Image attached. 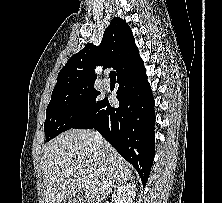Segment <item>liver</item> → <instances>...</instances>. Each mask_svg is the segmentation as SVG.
Instances as JSON below:
<instances>
[{
	"mask_svg": "<svg viewBox=\"0 0 222 203\" xmlns=\"http://www.w3.org/2000/svg\"><path fill=\"white\" fill-rule=\"evenodd\" d=\"M42 165L45 203L75 197L80 202L99 203L132 173L130 164L108 142L102 148L94 132L81 129H70L51 140L44 149ZM83 179L87 186L82 185Z\"/></svg>",
	"mask_w": 222,
	"mask_h": 203,
	"instance_id": "obj_1",
	"label": "liver"
}]
</instances>
